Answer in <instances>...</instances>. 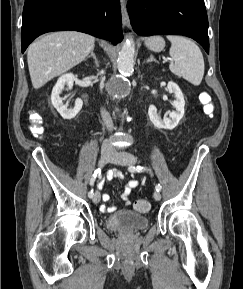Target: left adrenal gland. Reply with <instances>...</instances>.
Segmentation results:
<instances>
[{
	"instance_id": "a2214340",
	"label": "left adrenal gland",
	"mask_w": 243,
	"mask_h": 289,
	"mask_svg": "<svg viewBox=\"0 0 243 289\" xmlns=\"http://www.w3.org/2000/svg\"><path fill=\"white\" fill-rule=\"evenodd\" d=\"M152 61L157 62L156 59L154 58V56L152 54H150L149 59H147V63L152 62Z\"/></svg>"
}]
</instances>
